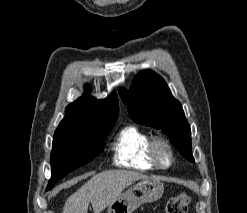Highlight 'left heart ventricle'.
Masks as SVG:
<instances>
[{
	"label": "left heart ventricle",
	"mask_w": 247,
	"mask_h": 213,
	"mask_svg": "<svg viewBox=\"0 0 247 213\" xmlns=\"http://www.w3.org/2000/svg\"><path fill=\"white\" fill-rule=\"evenodd\" d=\"M162 159L164 161H167L168 160V156H167V154L165 152H162Z\"/></svg>",
	"instance_id": "1"
}]
</instances>
